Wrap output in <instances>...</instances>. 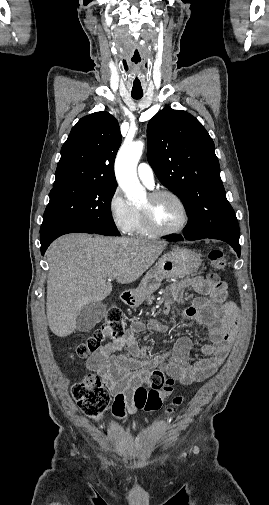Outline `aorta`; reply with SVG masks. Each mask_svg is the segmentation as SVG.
Instances as JSON below:
<instances>
[{
	"mask_svg": "<svg viewBox=\"0 0 269 505\" xmlns=\"http://www.w3.org/2000/svg\"><path fill=\"white\" fill-rule=\"evenodd\" d=\"M144 148V142L137 140L124 144L115 161V175L127 199L139 203L146 199V190L137 177V164Z\"/></svg>",
	"mask_w": 269,
	"mask_h": 505,
	"instance_id": "aorta-1",
	"label": "aorta"
}]
</instances>
